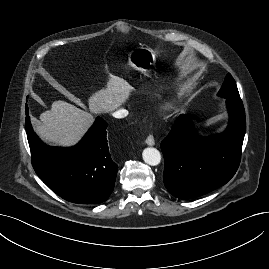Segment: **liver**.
<instances>
[{"instance_id":"obj_1","label":"liver","mask_w":269,"mask_h":269,"mask_svg":"<svg viewBox=\"0 0 269 269\" xmlns=\"http://www.w3.org/2000/svg\"><path fill=\"white\" fill-rule=\"evenodd\" d=\"M133 87L123 78L110 76L106 88L88 99L89 111H84L62 100L54 101L51 109L40 115L35 131L46 141L62 147L79 142L92 125L93 114L112 112L130 97Z\"/></svg>"}]
</instances>
